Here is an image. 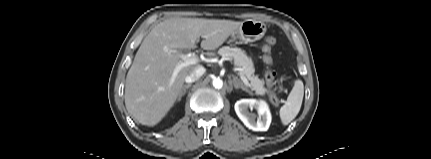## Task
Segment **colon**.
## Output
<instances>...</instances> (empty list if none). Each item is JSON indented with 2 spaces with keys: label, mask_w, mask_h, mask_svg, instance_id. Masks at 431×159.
Instances as JSON below:
<instances>
[{
  "label": "colon",
  "mask_w": 431,
  "mask_h": 159,
  "mask_svg": "<svg viewBox=\"0 0 431 159\" xmlns=\"http://www.w3.org/2000/svg\"><path fill=\"white\" fill-rule=\"evenodd\" d=\"M276 43V39L272 36H269L265 39L264 45H263V51H264V61L267 64H271L273 62L272 56H271V48ZM265 78L268 86L272 88L275 84V73L272 70H268L265 73Z\"/></svg>",
  "instance_id": "colon-1"
}]
</instances>
